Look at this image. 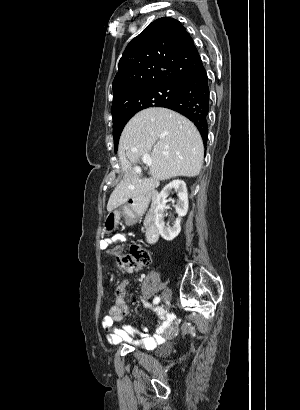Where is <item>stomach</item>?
<instances>
[{"label":"stomach","mask_w":300,"mask_h":410,"mask_svg":"<svg viewBox=\"0 0 300 410\" xmlns=\"http://www.w3.org/2000/svg\"><path fill=\"white\" fill-rule=\"evenodd\" d=\"M122 216L129 219L134 218V214L128 206H123L120 209L112 210L105 218L104 232L107 234L112 233L116 229Z\"/></svg>","instance_id":"obj_1"}]
</instances>
